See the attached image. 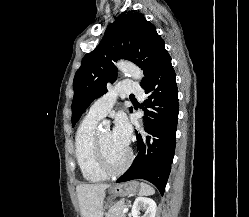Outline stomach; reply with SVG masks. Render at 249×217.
Listing matches in <instances>:
<instances>
[{
	"label": "stomach",
	"instance_id": "obj_1",
	"mask_svg": "<svg viewBox=\"0 0 249 217\" xmlns=\"http://www.w3.org/2000/svg\"><path fill=\"white\" fill-rule=\"evenodd\" d=\"M139 188V183L136 181H130L111 186L109 188L110 198L134 195L139 191ZM110 198L108 199V202H110Z\"/></svg>",
	"mask_w": 249,
	"mask_h": 217
}]
</instances>
